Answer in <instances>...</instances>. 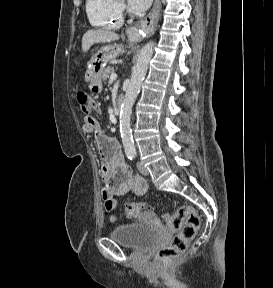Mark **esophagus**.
Returning <instances> with one entry per match:
<instances>
[{
  "mask_svg": "<svg viewBox=\"0 0 273 288\" xmlns=\"http://www.w3.org/2000/svg\"><path fill=\"white\" fill-rule=\"evenodd\" d=\"M160 10L161 1L155 0L154 5L148 15L127 29L126 33L129 35V37L133 40H138L141 38L142 32H145L146 34L154 32L159 20Z\"/></svg>",
  "mask_w": 273,
  "mask_h": 288,
  "instance_id": "obj_1",
  "label": "esophagus"
}]
</instances>
